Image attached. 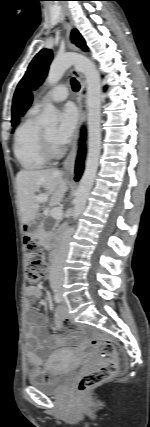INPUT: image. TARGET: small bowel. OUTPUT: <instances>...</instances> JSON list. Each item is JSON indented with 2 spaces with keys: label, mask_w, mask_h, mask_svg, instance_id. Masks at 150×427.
<instances>
[{
  "label": "small bowel",
  "mask_w": 150,
  "mask_h": 427,
  "mask_svg": "<svg viewBox=\"0 0 150 427\" xmlns=\"http://www.w3.org/2000/svg\"><path fill=\"white\" fill-rule=\"evenodd\" d=\"M28 295L40 300L42 290L40 287H35L29 290ZM53 326L58 331H66L67 334H74L79 329L78 322L74 319H67L66 309L61 306L54 311ZM81 345V340L77 335L50 334L46 327L45 316L28 305L26 313V356L28 363L33 367L29 372L31 378L46 379L50 367L55 362L69 356L71 354L70 349L78 348ZM57 348H63V350L60 353L50 355L46 367L41 369L43 360L38 351L49 353Z\"/></svg>",
  "instance_id": "1"
}]
</instances>
